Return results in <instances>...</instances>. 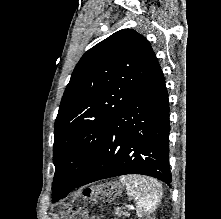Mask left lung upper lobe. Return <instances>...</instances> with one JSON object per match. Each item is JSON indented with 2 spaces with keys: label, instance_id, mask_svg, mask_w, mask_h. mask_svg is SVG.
Returning a JSON list of instances; mask_svg holds the SVG:
<instances>
[{
  "label": "left lung upper lobe",
  "instance_id": "5c2ea615",
  "mask_svg": "<svg viewBox=\"0 0 221 219\" xmlns=\"http://www.w3.org/2000/svg\"><path fill=\"white\" fill-rule=\"evenodd\" d=\"M156 60L149 41L131 29L115 32L82 56L55 121V201L80 180L116 116L140 89Z\"/></svg>",
  "mask_w": 221,
  "mask_h": 219
}]
</instances>
